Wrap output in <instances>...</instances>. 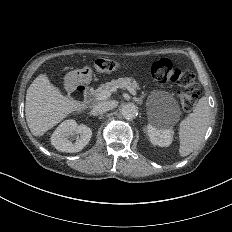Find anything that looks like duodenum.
Returning <instances> with one entry per match:
<instances>
[{
    "instance_id": "obj_1",
    "label": "duodenum",
    "mask_w": 232,
    "mask_h": 232,
    "mask_svg": "<svg viewBox=\"0 0 232 232\" xmlns=\"http://www.w3.org/2000/svg\"><path fill=\"white\" fill-rule=\"evenodd\" d=\"M67 87L73 98L80 104H84L88 87L78 78L72 79L67 83Z\"/></svg>"
}]
</instances>
